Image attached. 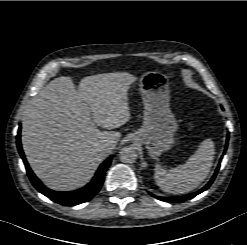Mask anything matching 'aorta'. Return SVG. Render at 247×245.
<instances>
[{"mask_svg":"<svg viewBox=\"0 0 247 245\" xmlns=\"http://www.w3.org/2000/svg\"><path fill=\"white\" fill-rule=\"evenodd\" d=\"M137 156V151L132 146L123 147L119 152L120 160L126 164L134 163Z\"/></svg>","mask_w":247,"mask_h":245,"instance_id":"aorta-1","label":"aorta"}]
</instances>
